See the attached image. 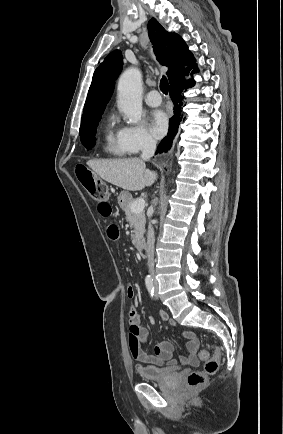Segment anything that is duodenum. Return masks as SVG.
<instances>
[{"label": "duodenum", "mask_w": 283, "mask_h": 434, "mask_svg": "<svg viewBox=\"0 0 283 434\" xmlns=\"http://www.w3.org/2000/svg\"><path fill=\"white\" fill-rule=\"evenodd\" d=\"M137 249H138L139 254L142 257H146L147 256V245H146V243L144 241H139L137 243Z\"/></svg>", "instance_id": "1"}]
</instances>
